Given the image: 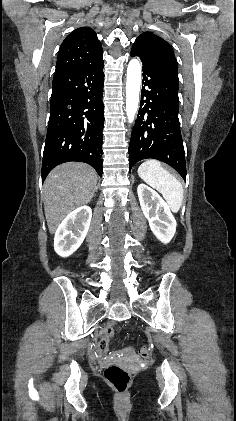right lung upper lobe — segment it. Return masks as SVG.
<instances>
[{
    "instance_id": "right-lung-upper-lobe-1",
    "label": "right lung upper lobe",
    "mask_w": 236,
    "mask_h": 421,
    "mask_svg": "<svg viewBox=\"0 0 236 421\" xmlns=\"http://www.w3.org/2000/svg\"><path fill=\"white\" fill-rule=\"evenodd\" d=\"M103 58V49L96 33L89 27L71 32L61 44L55 74L94 63Z\"/></svg>"
}]
</instances>
